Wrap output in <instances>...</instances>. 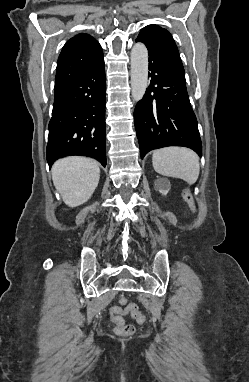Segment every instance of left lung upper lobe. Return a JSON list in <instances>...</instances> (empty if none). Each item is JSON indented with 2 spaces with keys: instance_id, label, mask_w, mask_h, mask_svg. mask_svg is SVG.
Instances as JSON below:
<instances>
[{
  "instance_id": "left-lung-upper-lobe-1",
  "label": "left lung upper lobe",
  "mask_w": 249,
  "mask_h": 382,
  "mask_svg": "<svg viewBox=\"0 0 249 382\" xmlns=\"http://www.w3.org/2000/svg\"><path fill=\"white\" fill-rule=\"evenodd\" d=\"M137 39L161 61L184 73L178 48L169 31L158 25H148L142 29Z\"/></svg>"
}]
</instances>
